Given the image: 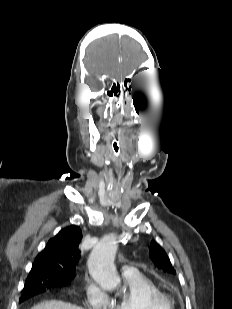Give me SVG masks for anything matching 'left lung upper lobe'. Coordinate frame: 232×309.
Instances as JSON below:
<instances>
[{
    "label": "left lung upper lobe",
    "instance_id": "left-lung-upper-lobe-1",
    "mask_svg": "<svg viewBox=\"0 0 232 309\" xmlns=\"http://www.w3.org/2000/svg\"><path fill=\"white\" fill-rule=\"evenodd\" d=\"M150 257L158 268L168 273H176L166 252L154 241L151 242Z\"/></svg>",
    "mask_w": 232,
    "mask_h": 309
}]
</instances>
